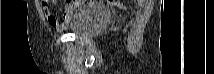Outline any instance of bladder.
Wrapping results in <instances>:
<instances>
[{
	"instance_id": "obj_1",
	"label": "bladder",
	"mask_w": 214,
	"mask_h": 74,
	"mask_svg": "<svg viewBox=\"0 0 214 74\" xmlns=\"http://www.w3.org/2000/svg\"><path fill=\"white\" fill-rule=\"evenodd\" d=\"M109 19L111 14L106 8L88 2L76 11L65 29L77 36H93Z\"/></svg>"
}]
</instances>
